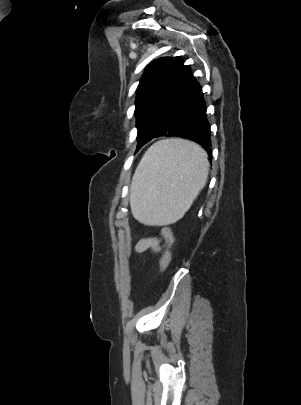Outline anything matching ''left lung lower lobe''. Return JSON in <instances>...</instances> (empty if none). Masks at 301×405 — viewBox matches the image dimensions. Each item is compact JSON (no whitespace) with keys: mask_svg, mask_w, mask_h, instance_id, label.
<instances>
[{"mask_svg":"<svg viewBox=\"0 0 301 405\" xmlns=\"http://www.w3.org/2000/svg\"><path fill=\"white\" fill-rule=\"evenodd\" d=\"M157 137H182L201 145L211 157L210 124L202 88L191 75L183 95L172 106L159 128L138 141L136 151Z\"/></svg>","mask_w":301,"mask_h":405,"instance_id":"left-lung-lower-lobe-1","label":"left lung lower lobe"}]
</instances>
